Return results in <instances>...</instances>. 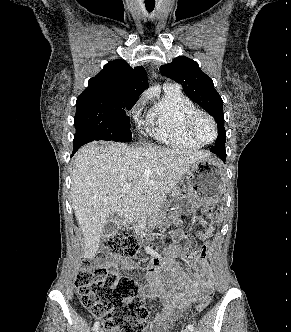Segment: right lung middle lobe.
Instances as JSON below:
<instances>
[{"mask_svg":"<svg viewBox=\"0 0 291 332\" xmlns=\"http://www.w3.org/2000/svg\"><path fill=\"white\" fill-rule=\"evenodd\" d=\"M136 100L124 97H97L76 101L74 124L76 148L94 140L129 142L127 111Z\"/></svg>","mask_w":291,"mask_h":332,"instance_id":"obj_1","label":"right lung middle lobe"}]
</instances>
